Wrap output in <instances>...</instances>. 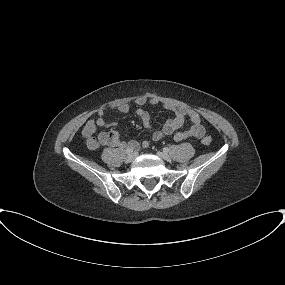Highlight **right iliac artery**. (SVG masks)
I'll list each match as a JSON object with an SVG mask.
<instances>
[{"label": "right iliac artery", "mask_w": 285, "mask_h": 285, "mask_svg": "<svg viewBox=\"0 0 285 285\" xmlns=\"http://www.w3.org/2000/svg\"><path fill=\"white\" fill-rule=\"evenodd\" d=\"M133 152V149L132 148H130V147H127V149H126V153L127 154H130V153H132Z\"/></svg>", "instance_id": "82829eb1"}]
</instances>
